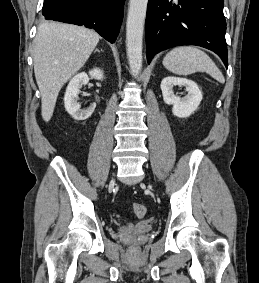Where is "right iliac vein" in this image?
I'll return each mask as SVG.
<instances>
[{
	"label": "right iliac vein",
	"instance_id": "63e3f726",
	"mask_svg": "<svg viewBox=\"0 0 259 283\" xmlns=\"http://www.w3.org/2000/svg\"><path fill=\"white\" fill-rule=\"evenodd\" d=\"M116 184V180L115 178H112V180L110 181L109 187L112 189Z\"/></svg>",
	"mask_w": 259,
	"mask_h": 283
}]
</instances>
